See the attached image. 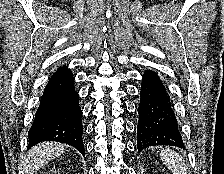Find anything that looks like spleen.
I'll use <instances>...</instances> for the list:
<instances>
[{
    "label": "spleen",
    "instance_id": "1",
    "mask_svg": "<svg viewBox=\"0 0 224 174\" xmlns=\"http://www.w3.org/2000/svg\"><path fill=\"white\" fill-rule=\"evenodd\" d=\"M161 160L173 174H186V168L181 155L171 149L160 151Z\"/></svg>",
    "mask_w": 224,
    "mask_h": 174
}]
</instances>
